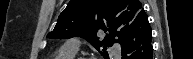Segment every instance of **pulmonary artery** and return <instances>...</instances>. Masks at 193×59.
<instances>
[{"mask_svg":"<svg viewBox=\"0 0 193 59\" xmlns=\"http://www.w3.org/2000/svg\"><path fill=\"white\" fill-rule=\"evenodd\" d=\"M63 48L76 53L79 49V45L72 41H69L64 44ZM119 52H120L119 50H115L114 54H118Z\"/></svg>","mask_w":193,"mask_h":59,"instance_id":"1","label":"pulmonary artery"}]
</instances>
